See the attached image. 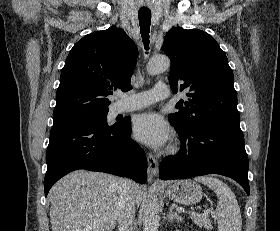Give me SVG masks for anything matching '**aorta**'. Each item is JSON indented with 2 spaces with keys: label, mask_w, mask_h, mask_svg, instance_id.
<instances>
[{
  "label": "aorta",
  "mask_w": 280,
  "mask_h": 231,
  "mask_svg": "<svg viewBox=\"0 0 280 231\" xmlns=\"http://www.w3.org/2000/svg\"><path fill=\"white\" fill-rule=\"evenodd\" d=\"M170 68V60L166 56L160 58H152L146 66L147 74L155 76L162 74ZM144 227L143 231H158L159 227V205L157 195H150L144 209Z\"/></svg>",
  "instance_id": "aorta-1"
}]
</instances>
